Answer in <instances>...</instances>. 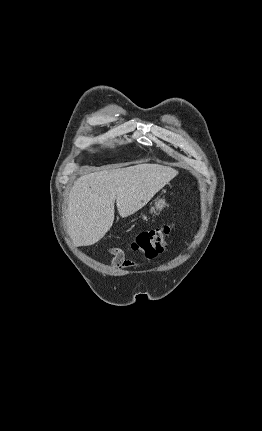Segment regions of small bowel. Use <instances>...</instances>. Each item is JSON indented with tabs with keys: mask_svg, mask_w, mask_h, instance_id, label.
I'll return each mask as SVG.
<instances>
[{
	"mask_svg": "<svg viewBox=\"0 0 262 431\" xmlns=\"http://www.w3.org/2000/svg\"><path fill=\"white\" fill-rule=\"evenodd\" d=\"M112 265H114L115 267H118L119 269H125L129 266L127 262L119 261V260H113Z\"/></svg>",
	"mask_w": 262,
	"mask_h": 431,
	"instance_id": "obj_1",
	"label": "small bowel"
}]
</instances>
